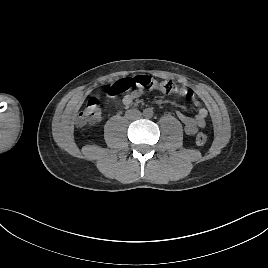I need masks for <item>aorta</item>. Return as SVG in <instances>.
I'll return each mask as SVG.
<instances>
[{
    "label": "aorta",
    "mask_w": 268,
    "mask_h": 268,
    "mask_svg": "<svg viewBox=\"0 0 268 268\" xmlns=\"http://www.w3.org/2000/svg\"><path fill=\"white\" fill-rule=\"evenodd\" d=\"M145 117L150 118L153 116V110L151 108H147L143 111Z\"/></svg>",
    "instance_id": "762f6f07"
}]
</instances>
